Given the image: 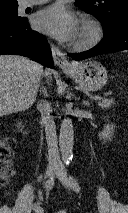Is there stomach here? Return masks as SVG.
Segmentation results:
<instances>
[{"label":"stomach","mask_w":128,"mask_h":213,"mask_svg":"<svg viewBox=\"0 0 128 213\" xmlns=\"http://www.w3.org/2000/svg\"><path fill=\"white\" fill-rule=\"evenodd\" d=\"M75 82L87 91H97L107 82V71L101 63L97 61H87L77 63L71 70H66Z\"/></svg>","instance_id":"0dacf381"}]
</instances>
